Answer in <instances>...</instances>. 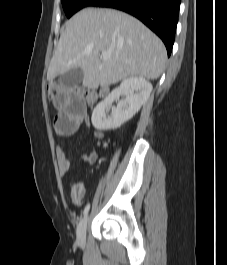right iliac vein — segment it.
Masks as SVG:
<instances>
[{
  "label": "right iliac vein",
  "instance_id": "63e3f726",
  "mask_svg": "<svg viewBox=\"0 0 227 265\" xmlns=\"http://www.w3.org/2000/svg\"><path fill=\"white\" fill-rule=\"evenodd\" d=\"M88 216H85L77 227V241L83 246L86 242V230H87Z\"/></svg>",
  "mask_w": 227,
  "mask_h": 265
}]
</instances>
